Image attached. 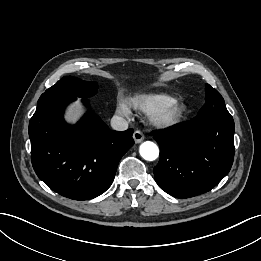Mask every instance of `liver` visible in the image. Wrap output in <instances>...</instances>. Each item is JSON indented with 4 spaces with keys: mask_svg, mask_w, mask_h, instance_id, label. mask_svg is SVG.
<instances>
[{
    "mask_svg": "<svg viewBox=\"0 0 261 261\" xmlns=\"http://www.w3.org/2000/svg\"><path fill=\"white\" fill-rule=\"evenodd\" d=\"M81 114L82 112L79 104L75 103L68 108L64 117L67 122L75 123Z\"/></svg>",
    "mask_w": 261,
    "mask_h": 261,
    "instance_id": "6515ba94",
    "label": "liver"
}]
</instances>
